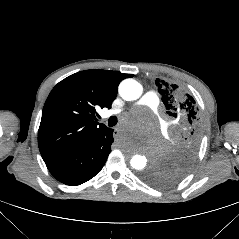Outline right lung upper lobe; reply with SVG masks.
<instances>
[{
    "label": "right lung upper lobe",
    "instance_id": "cb5924a9",
    "mask_svg": "<svg viewBox=\"0 0 239 239\" xmlns=\"http://www.w3.org/2000/svg\"><path fill=\"white\" fill-rule=\"evenodd\" d=\"M133 77L110 70H85L59 82L50 92L38 130L44 161L76 149L91 140L104 124L94 121L97 108H111L119 83Z\"/></svg>",
    "mask_w": 239,
    "mask_h": 239
}]
</instances>
